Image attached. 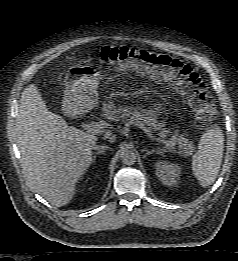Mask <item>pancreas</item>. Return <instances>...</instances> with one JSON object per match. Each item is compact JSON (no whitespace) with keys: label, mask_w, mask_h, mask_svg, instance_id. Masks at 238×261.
Listing matches in <instances>:
<instances>
[{"label":"pancreas","mask_w":238,"mask_h":261,"mask_svg":"<svg viewBox=\"0 0 238 261\" xmlns=\"http://www.w3.org/2000/svg\"><path fill=\"white\" fill-rule=\"evenodd\" d=\"M101 109L103 116L110 121L117 122L130 119L135 124H141L150 131H159V136L163 139L171 135L169 140L178 145L180 153L185 156L192 155L196 149L193 142L185 138L184 135H179L177 132L171 134L170 130L165 128L162 123H159L155 116L147 110H137L129 106L117 107L111 100L104 103Z\"/></svg>","instance_id":"obj_1"}]
</instances>
